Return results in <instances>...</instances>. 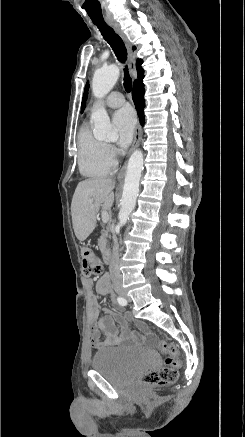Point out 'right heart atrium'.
I'll return each instance as SVG.
<instances>
[{"instance_id":"d8ad5b80","label":"right heart atrium","mask_w":245,"mask_h":437,"mask_svg":"<svg viewBox=\"0 0 245 437\" xmlns=\"http://www.w3.org/2000/svg\"><path fill=\"white\" fill-rule=\"evenodd\" d=\"M106 155L108 160L115 165L118 156L117 149L112 145H106Z\"/></svg>"}]
</instances>
